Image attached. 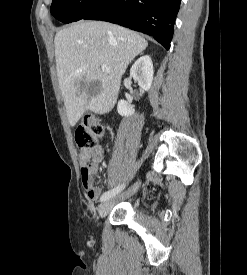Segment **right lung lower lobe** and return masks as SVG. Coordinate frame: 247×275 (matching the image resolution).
Here are the masks:
<instances>
[{
    "label": "right lung lower lobe",
    "mask_w": 247,
    "mask_h": 275,
    "mask_svg": "<svg viewBox=\"0 0 247 275\" xmlns=\"http://www.w3.org/2000/svg\"><path fill=\"white\" fill-rule=\"evenodd\" d=\"M181 0H104L82 19L119 24L153 36L167 50Z\"/></svg>",
    "instance_id": "right-lung-lower-lobe-1"
}]
</instances>
